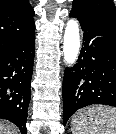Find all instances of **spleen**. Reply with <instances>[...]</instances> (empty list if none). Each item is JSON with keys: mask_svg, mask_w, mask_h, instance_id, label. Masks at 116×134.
Here are the masks:
<instances>
[{"mask_svg": "<svg viewBox=\"0 0 116 134\" xmlns=\"http://www.w3.org/2000/svg\"><path fill=\"white\" fill-rule=\"evenodd\" d=\"M72 134H116V108L89 106L71 121Z\"/></svg>", "mask_w": 116, "mask_h": 134, "instance_id": "obj_1", "label": "spleen"}]
</instances>
